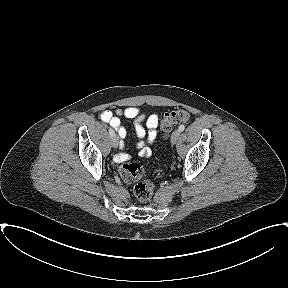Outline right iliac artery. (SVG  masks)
<instances>
[{"instance_id": "1", "label": "right iliac artery", "mask_w": 288, "mask_h": 288, "mask_svg": "<svg viewBox=\"0 0 288 288\" xmlns=\"http://www.w3.org/2000/svg\"><path fill=\"white\" fill-rule=\"evenodd\" d=\"M109 134L111 137L115 136L114 130L112 128L109 129Z\"/></svg>"}]
</instances>
